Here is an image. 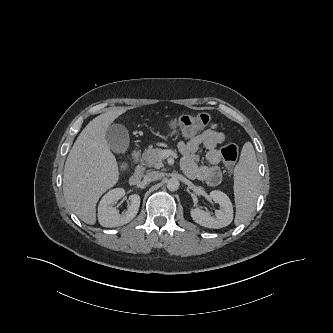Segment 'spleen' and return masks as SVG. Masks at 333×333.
Listing matches in <instances>:
<instances>
[{
  "label": "spleen",
  "instance_id": "obj_1",
  "mask_svg": "<svg viewBox=\"0 0 333 333\" xmlns=\"http://www.w3.org/2000/svg\"><path fill=\"white\" fill-rule=\"evenodd\" d=\"M259 180L258 163L253 145L251 142H246L234 169L236 225L245 222L255 210L259 195Z\"/></svg>",
  "mask_w": 333,
  "mask_h": 333
}]
</instances>
